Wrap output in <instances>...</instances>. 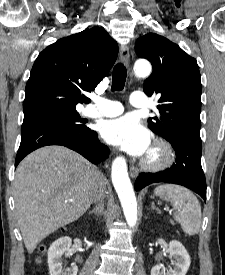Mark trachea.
Returning a JSON list of instances; mask_svg holds the SVG:
<instances>
[{"label":"trachea","instance_id":"1","mask_svg":"<svg viewBox=\"0 0 225 275\" xmlns=\"http://www.w3.org/2000/svg\"><path fill=\"white\" fill-rule=\"evenodd\" d=\"M127 70L122 63L115 65L112 75V91H122L124 89Z\"/></svg>","mask_w":225,"mask_h":275}]
</instances>
